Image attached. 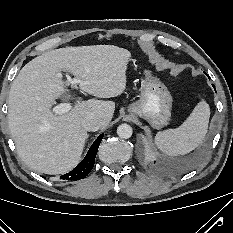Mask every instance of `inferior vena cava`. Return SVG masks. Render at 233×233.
<instances>
[{
  "label": "inferior vena cava",
  "mask_w": 233,
  "mask_h": 233,
  "mask_svg": "<svg viewBox=\"0 0 233 233\" xmlns=\"http://www.w3.org/2000/svg\"><path fill=\"white\" fill-rule=\"evenodd\" d=\"M82 127L86 131H97L101 128L103 121L98 117L93 114L88 115L82 120Z\"/></svg>",
  "instance_id": "1"
}]
</instances>
